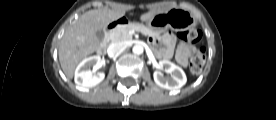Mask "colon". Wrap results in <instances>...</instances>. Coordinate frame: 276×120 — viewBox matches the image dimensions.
<instances>
[{
  "label": "colon",
  "instance_id": "1",
  "mask_svg": "<svg viewBox=\"0 0 276 120\" xmlns=\"http://www.w3.org/2000/svg\"><path fill=\"white\" fill-rule=\"evenodd\" d=\"M178 38L182 42L196 44L202 39V33L198 29L193 28L188 31L179 32ZM205 61L206 48L204 46H199L190 61V72L193 75L201 73L204 68Z\"/></svg>",
  "mask_w": 276,
  "mask_h": 120
}]
</instances>
